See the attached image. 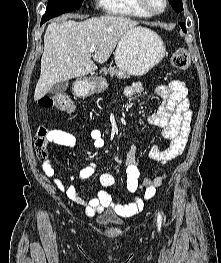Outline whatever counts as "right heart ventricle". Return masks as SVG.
<instances>
[{"label": "right heart ventricle", "instance_id": "e07e8e85", "mask_svg": "<svg viewBox=\"0 0 221 263\" xmlns=\"http://www.w3.org/2000/svg\"><path fill=\"white\" fill-rule=\"evenodd\" d=\"M99 5L104 11L113 15L139 18L149 16L138 0H99Z\"/></svg>", "mask_w": 221, "mask_h": 263}]
</instances>
